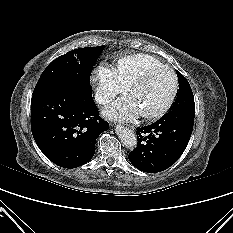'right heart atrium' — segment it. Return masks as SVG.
Returning <instances> with one entry per match:
<instances>
[{
	"instance_id": "1",
	"label": "right heart atrium",
	"mask_w": 233,
	"mask_h": 233,
	"mask_svg": "<svg viewBox=\"0 0 233 233\" xmlns=\"http://www.w3.org/2000/svg\"><path fill=\"white\" fill-rule=\"evenodd\" d=\"M96 98L100 104L110 102L116 95L123 93L127 85L122 81L117 70L109 65L98 66L94 74Z\"/></svg>"
}]
</instances>
